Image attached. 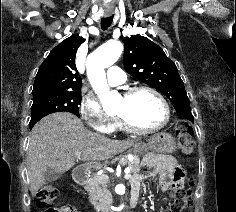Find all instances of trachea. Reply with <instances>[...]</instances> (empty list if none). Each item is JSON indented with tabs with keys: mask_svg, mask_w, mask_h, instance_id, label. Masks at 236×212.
Returning a JSON list of instances; mask_svg holds the SVG:
<instances>
[{
	"mask_svg": "<svg viewBox=\"0 0 236 212\" xmlns=\"http://www.w3.org/2000/svg\"><path fill=\"white\" fill-rule=\"evenodd\" d=\"M113 21V15L109 16V17H103L101 19V28L102 30H107L108 27H110L111 23Z\"/></svg>",
	"mask_w": 236,
	"mask_h": 212,
	"instance_id": "3493384b",
	"label": "trachea"
}]
</instances>
